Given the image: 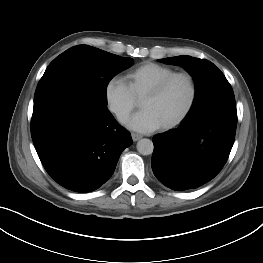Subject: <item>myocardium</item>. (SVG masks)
<instances>
[{
  "label": "myocardium",
  "mask_w": 263,
  "mask_h": 263,
  "mask_svg": "<svg viewBox=\"0 0 263 263\" xmlns=\"http://www.w3.org/2000/svg\"><path fill=\"white\" fill-rule=\"evenodd\" d=\"M176 78H185L188 81L190 86V96L184 109L174 119L161 126L163 130H168L177 126L192 110L197 98V84L194 76L186 71L174 72L158 81L141 98L142 100L145 98H153L160 95L164 91V89L170 84V82H172Z\"/></svg>",
  "instance_id": "f54148a6"
}]
</instances>
